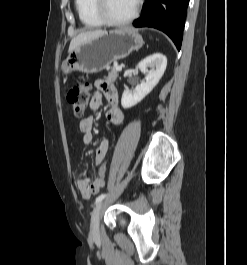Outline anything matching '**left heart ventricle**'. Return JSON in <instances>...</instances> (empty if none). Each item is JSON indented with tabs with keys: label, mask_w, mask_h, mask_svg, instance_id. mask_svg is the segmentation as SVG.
Masks as SVG:
<instances>
[{
	"label": "left heart ventricle",
	"mask_w": 247,
	"mask_h": 265,
	"mask_svg": "<svg viewBox=\"0 0 247 265\" xmlns=\"http://www.w3.org/2000/svg\"><path fill=\"white\" fill-rule=\"evenodd\" d=\"M137 0H108L107 8L111 17L125 19L134 10Z\"/></svg>",
	"instance_id": "1"
}]
</instances>
